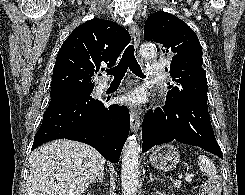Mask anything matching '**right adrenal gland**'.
Here are the masks:
<instances>
[{"mask_svg": "<svg viewBox=\"0 0 245 195\" xmlns=\"http://www.w3.org/2000/svg\"><path fill=\"white\" fill-rule=\"evenodd\" d=\"M104 176H105V172H104V169H103V170L99 173L97 179L93 180V183L100 182L101 184H103Z\"/></svg>", "mask_w": 245, "mask_h": 195, "instance_id": "obj_1", "label": "right adrenal gland"}]
</instances>
